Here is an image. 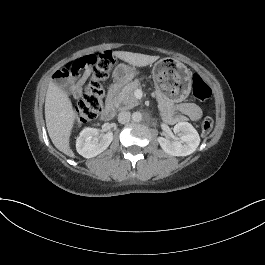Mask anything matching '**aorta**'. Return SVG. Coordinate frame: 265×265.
Here are the masks:
<instances>
[{
  "instance_id": "aorta-1",
  "label": "aorta",
  "mask_w": 265,
  "mask_h": 265,
  "mask_svg": "<svg viewBox=\"0 0 265 265\" xmlns=\"http://www.w3.org/2000/svg\"><path fill=\"white\" fill-rule=\"evenodd\" d=\"M132 120L137 123L140 122L142 120V114L139 111L134 112L132 114Z\"/></svg>"
}]
</instances>
